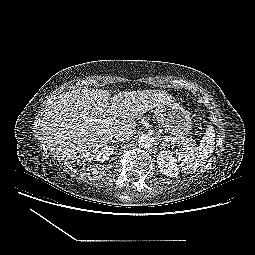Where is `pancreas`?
<instances>
[{"instance_id":"obj_1","label":"pancreas","mask_w":255,"mask_h":255,"mask_svg":"<svg viewBox=\"0 0 255 255\" xmlns=\"http://www.w3.org/2000/svg\"><path fill=\"white\" fill-rule=\"evenodd\" d=\"M194 144V141L193 140H189V142L186 143V145H193Z\"/></svg>"}]
</instances>
